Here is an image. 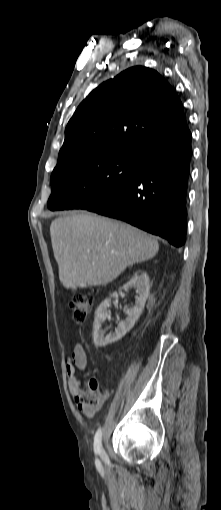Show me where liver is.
<instances>
[{"instance_id":"6515ba94","label":"liver","mask_w":221,"mask_h":510,"mask_svg":"<svg viewBox=\"0 0 221 510\" xmlns=\"http://www.w3.org/2000/svg\"><path fill=\"white\" fill-rule=\"evenodd\" d=\"M50 235L59 279L66 289L106 285L159 251L158 241L145 232L89 213L56 218Z\"/></svg>"}]
</instances>
